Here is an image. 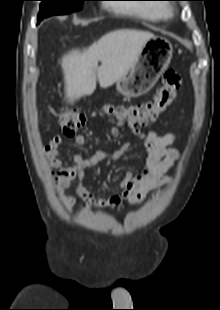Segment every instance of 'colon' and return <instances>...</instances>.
<instances>
[{"instance_id": "5ec220e1", "label": "colon", "mask_w": 220, "mask_h": 310, "mask_svg": "<svg viewBox=\"0 0 220 310\" xmlns=\"http://www.w3.org/2000/svg\"><path fill=\"white\" fill-rule=\"evenodd\" d=\"M181 87V77L174 70H167L162 84L154 98L138 105H113L107 112L133 130H140L154 122L175 101ZM86 122L85 115L71 108H65L60 116V124L66 135H74Z\"/></svg>"}]
</instances>
